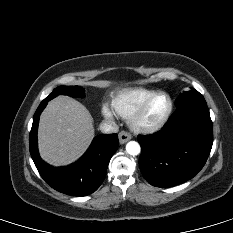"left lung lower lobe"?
I'll list each match as a JSON object with an SVG mask.
<instances>
[{"instance_id": "1", "label": "left lung lower lobe", "mask_w": 233, "mask_h": 233, "mask_svg": "<svg viewBox=\"0 0 233 233\" xmlns=\"http://www.w3.org/2000/svg\"><path fill=\"white\" fill-rule=\"evenodd\" d=\"M139 166L153 186L167 188L193 178L204 166L213 144V128L206 102L178 108L157 133L138 136Z\"/></svg>"}]
</instances>
